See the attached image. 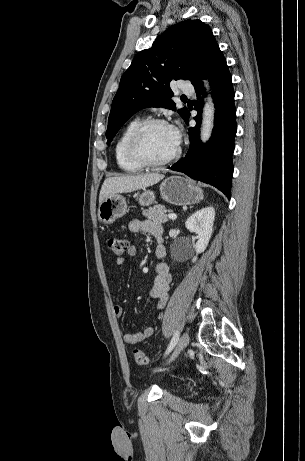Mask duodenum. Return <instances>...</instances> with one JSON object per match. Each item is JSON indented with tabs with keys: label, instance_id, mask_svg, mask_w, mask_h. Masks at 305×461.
Instances as JSON below:
<instances>
[{
	"label": "duodenum",
	"instance_id": "obj_1",
	"mask_svg": "<svg viewBox=\"0 0 305 461\" xmlns=\"http://www.w3.org/2000/svg\"><path fill=\"white\" fill-rule=\"evenodd\" d=\"M158 241H159V244L162 245V244H161V242H162L161 238H159Z\"/></svg>",
	"mask_w": 305,
	"mask_h": 461
}]
</instances>
